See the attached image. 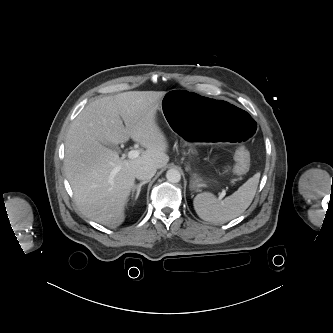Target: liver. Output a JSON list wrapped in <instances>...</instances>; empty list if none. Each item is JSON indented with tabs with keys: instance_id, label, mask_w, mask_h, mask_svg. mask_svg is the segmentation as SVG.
<instances>
[{
	"instance_id": "6515ba94",
	"label": "liver",
	"mask_w": 333,
	"mask_h": 333,
	"mask_svg": "<svg viewBox=\"0 0 333 333\" xmlns=\"http://www.w3.org/2000/svg\"><path fill=\"white\" fill-rule=\"evenodd\" d=\"M165 94L129 91L102 97L89 103L70 125L64 170L86 217L111 228L121 225L136 169L142 165L160 169L168 163L166 137L156 123ZM129 138L146 148L135 159H120L117 151L107 147Z\"/></svg>"
}]
</instances>
